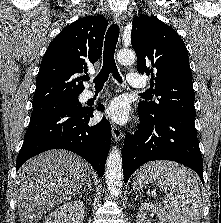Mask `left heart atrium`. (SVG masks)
Instances as JSON below:
<instances>
[{
  "label": "left heart atrium",
  "instance_id": "39dd6f15",
  "mask_svg": "<svg viewBox=\"0 0 221 223\" xmlns=\"http://www.w3.org/2000/svg\"><path fill=\"white\" fill-rule=\"evenodd\" d=\"M106 117L118 124H124L129 119V106L123 98H115L104 111Z\"/></svg>",
  "mask_w": 221,
  "mask_h": 223
}]
</instances>
